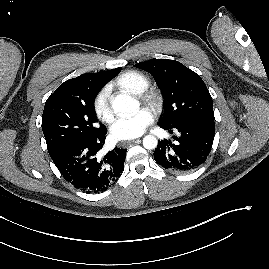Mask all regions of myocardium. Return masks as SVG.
I'll return each mask as SVG.
<instances>
[{
    "mask_svg": "<svg viewBox=\"0 0 269 269\" xmlns=\"http://www.w3.org/2000/svg\"><path fill=\"white\" fill-rule=\"evenodd\" d=\"M141 101L155 113L163 107V97L155 90H146L140 94Z\"/></svg>",
    "mask_w": 269,
    "mask_h": 269,
    "instance_id": "f54148a6",
    "label": "myocardium"
}]
</instances>
